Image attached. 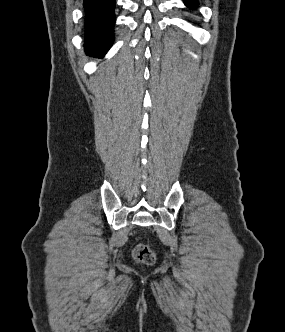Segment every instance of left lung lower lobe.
I'll return each instance as SVG.
<instances>
[{"mask_svg":"<svg viewBox=\"0 0 285 332\" xmlns=\"http://www.w3.org/2000/svg\"><path fill=\"white\" fill-rule=\"evenodd\" d=\"M184 2L188 7H191V8L197 7V1L196 0H184Z\"/></svg>","mask_w":285,"mask_h":332,"instance_id":"left-lung-lower-lobe-1","label":"left lung lower lobe"}]
</instances>
